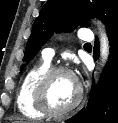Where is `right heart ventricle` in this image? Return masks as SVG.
<instances>
[{
  "mask_svg": "<svg viewBox=\"0 0 118 123\" xmlns=\"http://www.w3.org/2000/svg\"><path fill=\"white\" fill-rule=\"evenodd\" d=\"M49 68V61H41L27 71L19 85L16 103L20 113L27 118L45 117V113L40 111L35 104V90L39 79Z\"/></svg>",
  "mask_w": 118,
  "mask_h": 123,
  "instance_id": "right-heart-ventricle-1",
  "label": "right heart ventricle"
}]
</instances>
